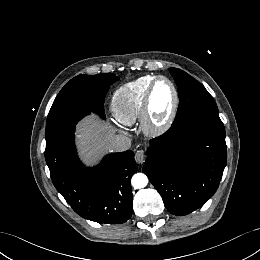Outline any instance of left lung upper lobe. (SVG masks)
I'll use <instances>...</instances> for the list:
<instances>
[{"label": "left lung upper lobe", "mask_w": 260, "mask_h": 260, "mask_svg": "<svg viewBox=\"0 0 260 260\" xmlns=\"http://www.w3.org/2000/svg\"><path fill=\"white\" fill-rule=\"evenodd\" d=\"M179 93L178 112L173 124H178L189 116L203 111H218L213 97L196 79L186 72L169 68Z\"/></svg>", "instance_id": "5c2ea615"}]
</instances>
